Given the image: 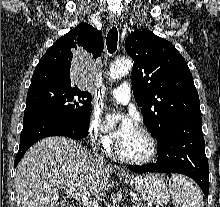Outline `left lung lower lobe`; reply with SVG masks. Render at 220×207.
<instances>
[{
  "mask_svg": "<svg viewBox=\"0 0 220 207\" xmlns=\"http://www.w3.org/2000/svg\"><path fill=\"white\" fill-rule=\"evenodd\" d=\"M158 160L145 166H132L137 173H180L194 179L205 196L209 193V166L205 155L201 116L175 123L158 141Z\"/></svg>",
  "mask_w": 220,
  "mask_h": 207,
  "instance_id": "left-lung-lower-lobe-1",
  "label": "left lung lower lobe"
}]
</instances>
